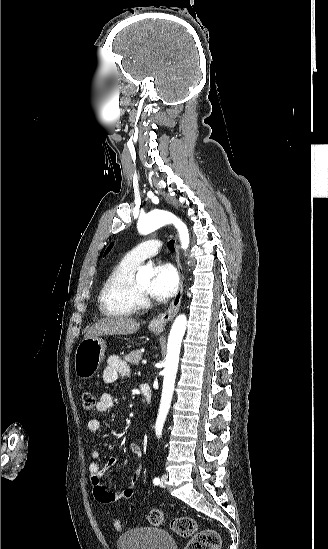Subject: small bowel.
I'll return each instance as SVG.
<instances>
[{
    "label": "small bowel",
    "instance_id": "small-bowel-1",
    "mask_svg": "<svg viewBox=\"0 0 328 549\" xmlns=\"http://www.w3.org/2000/svg\"><path fill=\"white\" fill-rule=\"evenodd\" d=\"M130 372V369L126 362L117 355H111L107 359V365L102 372V379L106 384H113L116 382L119 376H126ZM114 405V398L110 393L101 394L98 402L96 403V411L99 413L108 412ZM101 428V423L96 418H91L87 422V429L90 432H98ZM129 450L132 456L137 460L132 475L130 477L128 485L122 490H110L103 481L104 472L112 468L118 461L117 455H112L105 467L100 468L98 463L101 452L98 449H93L90 452V462L88 465V471L90 474V480L93 485V492L95 499L103 504H111L120 500H128L134 494L135 486L140 478L142 466L139 459L142 456V448L136 443L129 444Z\"/></svg>",
    "mask_w": 328,
    "mask_h": 549
}]
</instances>
